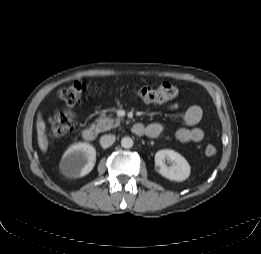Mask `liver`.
<instances>
[{
	"instance_id": "liver-1",
	"label": "liver",
	"mask_w": 261,
	"mask_h": 254,
	"mask_svg": "<svg viewBox=\"0 0 261 254\" xmlns=\"http://www.w3.org/2000/svg\"><path fill=\"white\" fill-rule=\"evenodd\" d=\"M45 124L39 119L37 122V132H38V144L41 151L45 152L47 150V142L44 136Z\"/></svg>"
}]
</instances>
